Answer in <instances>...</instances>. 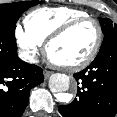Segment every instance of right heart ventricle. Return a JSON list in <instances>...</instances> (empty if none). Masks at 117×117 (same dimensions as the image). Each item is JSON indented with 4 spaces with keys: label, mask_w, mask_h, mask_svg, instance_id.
I'll use <instances>...</instances> for the list:
<instances>
[{
    "label": "right heart ventricle",
    "mask_w": 117,
    "mask_h": 117,
    "mask_svg": "<svg viewBox=\"0 0 117 117\" xmlns=\"http://www.w3.org/2000/svg\"><path fill=\"white\" fill-rule=\"evenodd\" d=\"M86 16L85 11L72 7H41L31 11L24 23L27 33L42 44L64 24Z\"/></svg>",
    "instance_id": "e07e8e85"
}]
</instances>
